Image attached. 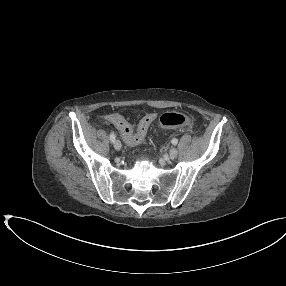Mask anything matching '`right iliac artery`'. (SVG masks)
<instances>
[{"mask_svg": "<svg viewBox=\"0 0 286 286\" xmlns=\"http://www.w3.org/2000/svg\"><path fill=\"white\" fill-rule=\"evenodd\" d=\"M115 138H116V136H115L114 132H111L110 133V140H111V142H114Z\"/></svg>", "mask_w": 286, "mask_h": 286, "instance_id": "82829eb1", "label": "right iliac artery"}]
</instances>
